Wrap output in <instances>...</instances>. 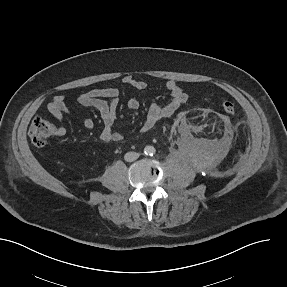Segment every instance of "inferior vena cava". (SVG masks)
I'll list each match as a JSON object with an SVG mask.
<instances>
[{
	"mask_svg": "<svg viewBox=\"0 0 287 287\" xmlns=\"http://www.w3.org/2000/svg\"><path fill=\"white\" fill-rule=\"evenodd\" d=\"M139 153L137 152H127L124 156L125 161L133 162L139 157Z\"/></svg>",
	"mask_w": 287,
	"mask_h": 287,
	"instance_id": "obj_1",
	"label": "inferior vena cava"
}]
</instances>
